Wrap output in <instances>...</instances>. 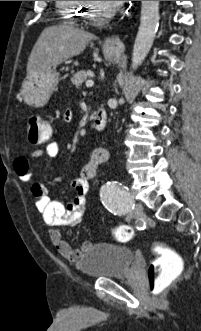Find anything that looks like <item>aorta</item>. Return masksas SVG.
Segmentation results:
<instances>
[{
  "label": "aorta",
  "mask_w": 201,
  "mask_h": 331,
  "mask_svg": "<svg viewBox=\"0 0 201 331\" xmlns=\"http://www.w3.org/2000/svg\"><path fill=\"white\" fill-rule=\"evenodd\" d=\"M159 1H141V18L132 52V69H137L147 56L158 28Z\"/></svg>",
  "instance_id": "aorta-1"
}]
</instances>
